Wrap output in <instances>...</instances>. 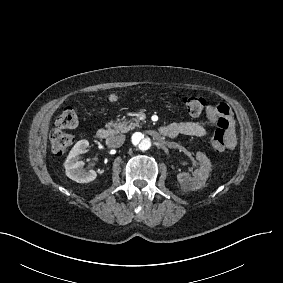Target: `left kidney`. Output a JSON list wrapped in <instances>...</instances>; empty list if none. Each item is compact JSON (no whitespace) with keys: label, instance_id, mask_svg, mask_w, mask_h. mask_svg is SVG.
Returning <instances> with one entry per match:
<instances>
[{"label":"left kidney","instance_id":"5707ae66","mask_svg":"<svg viewBox=\"0 0 283 283\" xmlns=\"http://www.w3.org/2000/svg\"><path fill=\"white\" fill-rule=\"evenodd\" d=\"M196 159L200 162V168L194 171L193 177L187 172L177 174V180L184 192L202 188L209 177L211 171L210 160L202 152L196 153Z\"/></svg>","mask_w":283,"mask_h":283}]
</instances>
